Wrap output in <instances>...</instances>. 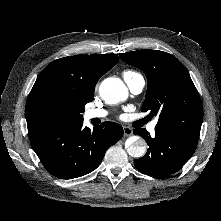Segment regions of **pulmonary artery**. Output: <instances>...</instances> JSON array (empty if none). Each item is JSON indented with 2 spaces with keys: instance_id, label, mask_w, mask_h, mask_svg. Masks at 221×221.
Wrapping results in <instances>:
<instances>
[{
  "instance_id": "e3ab8cb5",
  "label": "pulmonary artery",
  "mask_w": 221,
  "mask_h": 221,
  "mask_svg": "<svg viewBox=\"0 0 221 221\" xmlns=\"http://www.w3.org/2000/svg\"><path fill=\"white\" fill-rule=\"evenodd\" d=\"M130 91L133 94H139L142 92L144 86H145V80L140 74H136L132 77H126L124 78ZM107 115V112L103 109H89L85 112V118L90 120L94 118H103ZM156 126V121L152 122L148 126V130L150 132H153Z\"/></svg>"
}]
</instances>
